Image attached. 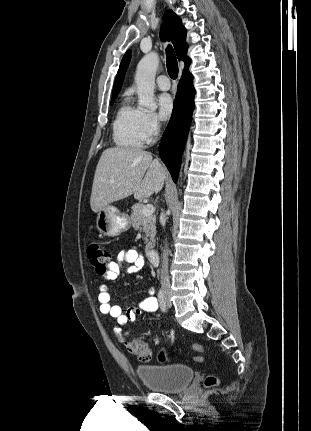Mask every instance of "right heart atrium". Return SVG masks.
Returning a JSON list of instances; mask_svg holds the SVG:
<instances>
[{"label": "right heart atrium", "mask_w": 311, "mask_h": 431, "mask_svg": "<svg viewBox=\"0 0 311 431\" xmlns=\"http://www.w3.org/2000/svg\"><path fill=\"white\" fill-rule=\"evenodd\" d=\"M144 124L146 130V141L152 142L161 134L162 122L160 117L153 111H144Z\"/></svg>", "instance_id": "1"}]
</instances>
